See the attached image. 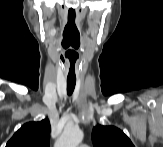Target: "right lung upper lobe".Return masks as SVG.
I'll use <instances>...</instances> for the list:
<instances>
[{"label": "right lung upper lobe", "instance_id": "right-lung-upper-lobe-1", "mask_svg": "<svg viewBox=\"0 0 163 147\" xmlns=\"http://www.w3.org/2000/svg\"><path fill=\"white\" fill-rule=\"evenodd\" d=\"M50 122H28L13 135L6 147H49Z\"/></svg>", "mask_w": 163, "mask_h": 147}]
</instances>
